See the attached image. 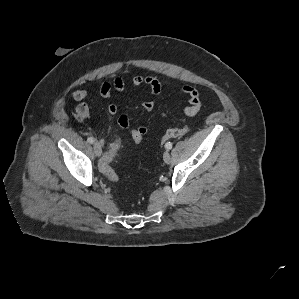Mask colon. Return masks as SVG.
Segmentation results:
<instances>
[{"label": "colon", "mask_w": 299, "mask_h": 299, "mask_svg": "<svg viewBox=\"0 0 299 299\" xmlns=\"http://www.w3.org/2000/svg\"><path fill=\"white\" fill-rule=\"evenodd\" d=\"M189 132L188 126H182L177 128H171L166 131L164 136L162 137V142H166L171 139H177ZM145 132L139 127H135L131 130V139L135 144H140L145 136ZM122 146V140L120 138H116L109 146L108 151L102 158L99 164L100 171L103 176L111 183H115L118 181V174L112 167V161L117 155L118 151Z\"/></svg>", "instance_id": "obj_1"}]
</instances>
